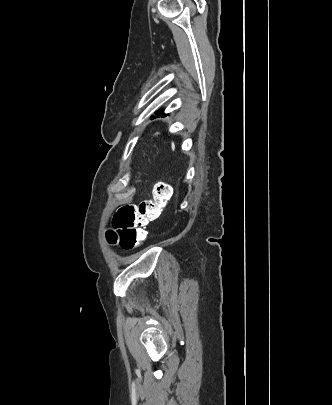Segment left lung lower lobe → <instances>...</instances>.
<instances>
[{
  "instance_id": "obj_1",
  "label": "left lung lower lobe",
  "mask_w": 332,
  "mask_h": 405,
  "mask_svg": "<svg viewBox=\"0 0 332 405\" xmlns=\"http://www.w3.org/2000/svg\"><path fill=\"white\" fill-rule=\"evenodd\" d=\"M163 113H164L163 110H160V111L156 112V114H163Z\"/></svg>"
}]
</instances>
